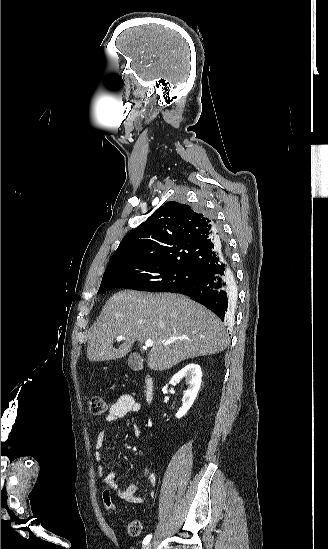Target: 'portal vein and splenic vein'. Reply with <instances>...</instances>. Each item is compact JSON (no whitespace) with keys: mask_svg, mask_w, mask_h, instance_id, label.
<instances>
[{"mask_svg":"<svg viewBox=\"0 0 328 549\" xmlns=\"http://www.w3.org/2000/svg\"><path fill=\"white\" fill-rule=\"evenodd\" d=\"M123 339H125V337H123V335H120V337H117L116 341H123ZM177 339H182V337H171V339H169V341H162L163 345H171V343H174V341H177ZM152 345H154L153 341H145V349L146 347H152Z\"/></svg>","mask_w":328,"mask_h":549,"instance_id":"portal-vein-and-splenic-vein-1","label":"portal vein and splenic vein"}]
</instances>
